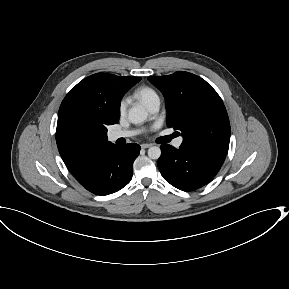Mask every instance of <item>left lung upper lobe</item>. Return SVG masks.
Here are the masks:
<instances>
[{"mask_svg":"<svg viewBox=\"0 0 289 289\" xmlns=\"http://www.w3.org/2000/svg\"><path fill=\"white\" fill-rule=\"evenodd\" d=\"M148 80L163 93L167 126L181 131L184 143L227 154L229 118L223 101L210 84L184 71Z\"/></svg>","mask_w":289,"mask_h":289,"instance_id":"obj_1","label":"left lung upper lobe"}]
</instances>
